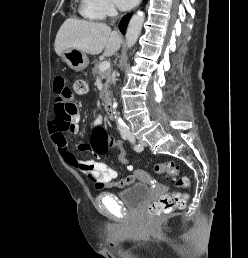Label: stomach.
I'll list each match as a JSON object with an SVG mask.
<instances>
[{"mask_svg":"<svg viewBox=\"0 0 248 258\" xmlns=\"http://www.w3.org/2000/svg\"><path fill=\"white\" fill-rule=\"evenodd\" d=\"M61 58L71 69L75 71H81L89 64L87 55L84 52L73 48L65 49L61 55Z\"/></svg>","mask_w":248,"mask_h":258,"instance_id":"obj_1","label":"stomach"}]
</instances>
